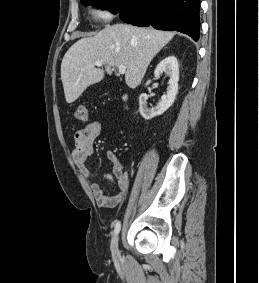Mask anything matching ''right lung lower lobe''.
<instances>
[{"label":"right lung lower lobe","instance_id":"obj_1","mask_svg":"<svg viewBox=\"0 0 259 283\" xmlns=\"http://www.w3.org/2000/svg\"><path fill=\"white\" fill-rule=\"evenodd\" d=\"M200 0H121L119 17L136 26L179 31L199 39Z\"/></svg>","mask_w":259,"mask_h":283}]
</instances>
